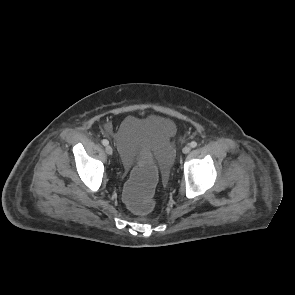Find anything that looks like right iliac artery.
Returning <instances> with one entry per match:
<instances>
[{"mask_svg":"<svg viewBox=\"0 0 295 295\" xmlns=\"http://www.w3.org/2000/svg\"><path fill=\"white\" fill-rule=\"evenodd\" d=\"M102 144H103L104 146H106V145H108V144H109V142H108V140H106V139H103V140H102Z\"/></svg>","mask_w":295,"mask_h":295,"instance_id":"1","label":"right iliac artery"}]
</instances>
